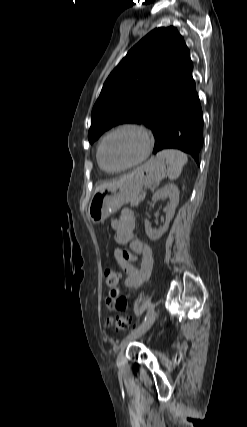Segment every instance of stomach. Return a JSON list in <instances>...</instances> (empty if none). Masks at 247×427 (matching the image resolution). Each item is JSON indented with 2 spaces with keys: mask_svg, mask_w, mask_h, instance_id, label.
I'll list each match as a JSON object with an SVG mask.
<instances>
[{
  "mask_svg": "<svg viewBox=\"0 0 247 427\" xmlns=\"http://www.w3.org/2000/svg\"><path fill=\"white\" fill-rule=\"evenodd\" d=\"M166 174L165 161L150 158L131 175L110 188H103L95 192L88 206V216L95 224L104 222L121 206L131 202L140 195L143 186L161 181Z\"/></svg>",
  "mask_w": 247,
  "mask_h": 427,
  "instance_id": "1",
  "label": "stomach"
}]
</instances>
